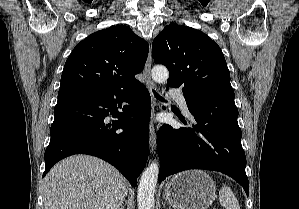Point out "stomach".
Listing matches in <instances>:
<instances>
[{"label":"stomach","instance_id":"stomach-1","mask_svg":"<svg viewBox=\"0 0 299 209\" xmlns=\"http://www.w3.org/2000/svg\"><path fill=\"white\" fill-rule=\"evenodd\" d=\"M164 196L175 209H207L215 200L216 186L206 172L188 170L168 181Z\"/></svg>","mask_w":299,"mask_h":209}]
</instances>
